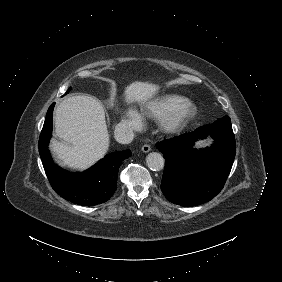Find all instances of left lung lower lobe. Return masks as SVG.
<instances>
[{"label": "left lung lower lobe", "mask_w": 282, "mask_h": 282, "mask_svg": "<svg viewBox=\"0 0 282 282\" xmlns=\"http://www.w3.org/2000/svg\"><path fill=\"white\" fill-rule=\"evenodd\" d=\"M211 136V147L193 148L198 139ZM165 158L161 189L172 203L191 207L214 198L223 188L236 153L228 116L156 144Z\"/></svg>", "instance_id": "1"}]
</instances>
